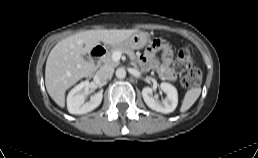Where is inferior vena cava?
<instances>
[{
    "label": "inferior vena cava",
    "instance_id": "602c4592",
    "mask_svg": "<svg viewBox=\"0 0 258 158\" xmlns=\"http://www.w3.org/2000/svg\"><path fill=\"white\" fill-rule=\"evenodd\" d=\"M114 68L110 66H102L96 73L95 78L100 81H106L112 77Z\"/></svg>",
    "mask_w": 258,
    "mask_h": 158
}]
</instances>
